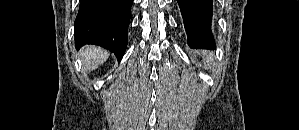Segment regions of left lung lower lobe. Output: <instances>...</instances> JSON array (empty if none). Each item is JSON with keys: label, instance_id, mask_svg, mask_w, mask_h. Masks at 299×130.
I'll list each match as a JSON object with an SVG mask.
<instances>
[{"label": "left lung lower lobe", "instance_id": "obj_1", "mask_svg": "<svg viewBox=\"0 0 299 130\" xmlns=\"http://www.w3.org/2000/svg\"><path fill=\"white\" fill-rule=\"evenodd\" d=\"M188 36V45L198 49H214L211 32L213 0H177Z\"/></svg>", "mask_w": 299, "mask_h": 130}]
</instances>
